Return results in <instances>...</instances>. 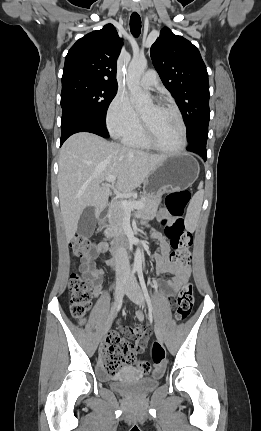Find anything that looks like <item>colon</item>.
Returning <instances> with one entry per match:
<instances>
[{
    "label": "colon",
    "instance_id": "colon-1",
    "mask_svg": "<svg viewBox=\"0 0 261 431\" xmlns=\"http://www.w3.org/2000/svg\"><path fill=\"white\" fill-rule=\"evenodd\" d=\"M190 192L187 190L175 191L167 196V208L176 220L165 225V235L170 241L173 251L169 255L171 262L178 266H188L191 260L190 247L193 242L192 234L185 230L181 216L190 200ZM71 253L74 257L85 259L80 267L74 270L70 276V312L72 316L80 322L84 321L89 310L93 282L86 277L89 269V258L93 251L94 244L85 237L76 236L70 244ZM176 304V318L184 321L188 318L194 304V286L186 283L182 286L178 296L174 299ZM162 344L153 343L150 360H141L138 371L146 373L145 380L154 382L163 377V365L167 357L166 350ZM133 359V346L120 336L117 332H111L106 338L102 349V363L104 369L109 374H115L125 363Z\"/></svg>",
    "mask_w": 261,
    "mask_h": 431
}]
</instances>
